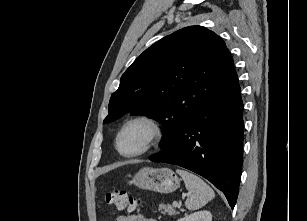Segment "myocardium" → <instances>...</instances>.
<instances>
[{
    "mask_svg": "<svg viewBox=\"0 0 307 221\" xmlns=\"http://www.w3.org/2000/svg\"><path fill=\"white\" fill-rule=\"evenodd\" d=\"M134 124H144L148 128V137L146 140V143L142 149H140L137 152L133 153H124L120 149V139L124 131L131 125ZM163 137V127L158 119H156L153 116L141 114L134 116L130 119H128L120 128V130L117 133L116 141H115V147L120 155L126 158H133L141 156L148 151H150L154 146H156L159 141Z\"/></svg>",
    "mask_w": 307,
    "mask_h": 221,
    "instance_id": "obj_1",
    "label": "myocardium"
}]
</instances>
